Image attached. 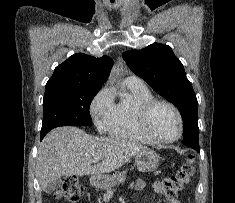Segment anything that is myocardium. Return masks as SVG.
<instances>
[{"label":"myocardium","mask_w":235,"mask_h":203,"mask_svg":"<svg viewBox=\"0 0 235 203\" xmlns=\"http://www.w3.org/2000/svg\"><path fill=\"white\" fill-rule=\"evenodd\" d=\"M159 104H164V105L168 106L169 108H171L177 117L178 124H179V131H178V134L173 138H170V139L159 138V137L155 136L149 128L150 113L154 109V107H156ZM137 122H138V126H139L140 130L142 131V133L147 138H149L152 142L157 143V144L174 143L182 137L183 131H184V121H183V117L181 115V112L179 111V109L177 108L176 105H174L172 102H170L168 100H164V99L153 98V99H150V100L140 104L137 109Z\"/></svg>","instance_id":"f54148a6"}]
</instances>
